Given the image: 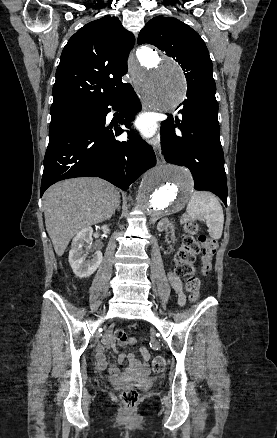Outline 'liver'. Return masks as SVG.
Instances as JSON below:
<instances>
[{
	"label": "liver",
	"instance_id": "1",
	"mask_svg": "<svg viewBox=\"0 0 277 438\" xmlns=\"http://www.w3.org/2000/svg\"><path fill=\"white\" fill-rule=\"evenodd\" d=\"M120 202L118 188L100 178H73L43 196L46 230L57 256H63L80 230L110 220Z\"/></svg>",
	"mask_w": 277,
	"mask_h": 438
}]
</instances>
